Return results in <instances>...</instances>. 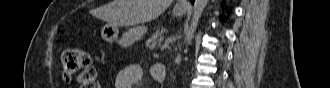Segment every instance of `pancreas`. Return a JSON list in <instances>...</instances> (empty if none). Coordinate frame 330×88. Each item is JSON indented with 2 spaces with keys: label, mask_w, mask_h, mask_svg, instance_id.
Here are the masks:
<instances>
[{
  "label": "pancreas",
  "mask_w": 330,
  "mask_h": 88,
  "mask_svg": "<svg viewBox=\"0 0 330 88\" xmlns=\"http://www.w3.org/2000/svg\"><path fill=\"white\" fill-rule=\"evenodd\" d=\"M162 35L163 32L157 31L156 33H154L151 38L146 42V46L149 47L151 50L155 48H166L167 46L161 45Z\"/></svg>",
  "instance_id": "1"
}]
</instances>
